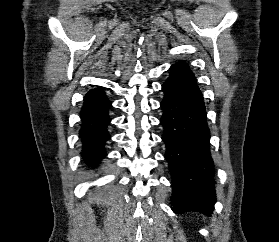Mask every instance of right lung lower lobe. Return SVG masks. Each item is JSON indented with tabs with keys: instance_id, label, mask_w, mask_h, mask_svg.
Wrapping results in <instances>:
<instances>
[{
	"instance_id": "obj_1",
	"label": "right lung lower lobe",
	"mask_w": 279,
	"mask_h": 242,
	"mask_svg": "<svg viewBox=\"0 0 279 242\" xmlns=\"http://www.w3.org/2000/svg\"><path fill=\"white\" fill-rule=\"evenodd\" d=\"M111 105L99 88L91 90L84 98L80 139L84 163L91 168H96L107 154L105 145L110 139L108 126L111 119L108 112Z\"/></svg>"
}]
</instances>
